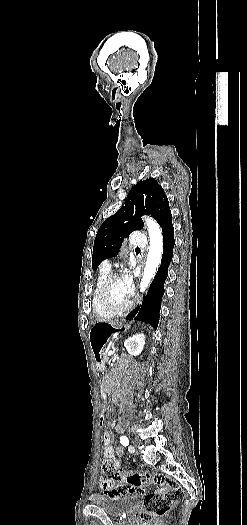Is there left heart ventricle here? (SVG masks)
<instances>
[{"label": "left heart ventricle", "mask_w": 247, "mask_h": 525, "mask_svg": "<svg viewBox=\"0 0 247 525\" xmlns=\"http://www.w3.org/2000/svg\"><path fill=\"white\" fill-rule=\"evenodd\" d=\"M123 282L124 278H116L111 282L107 291L110 299L123 302L128 298L129 294L124 291Z\"/></svg>", "instance_id": "left-heart-ventricle-1"}]
</instances>
